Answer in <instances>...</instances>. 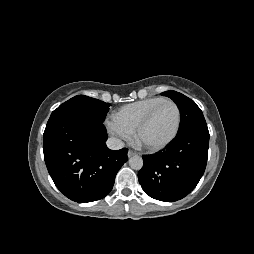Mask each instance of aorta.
Masks as SVG:
<instances>
[{
    "mask_svg": "<svg viewBox=\"0 0 254 254\" xmlns=\"http://www.w3.org/2000/svg\"><path fill=\"white\" fill-rule=\"evenodd\" d=\"M129 165L134 170H140L143 167V159L140 156H133L129 159Z\"/></svg>",
    "mask_w": 254,
    "mask_h": 254,
    "instance_id": "aorta-1",
    "label": "aorta"
}]
</instances>
